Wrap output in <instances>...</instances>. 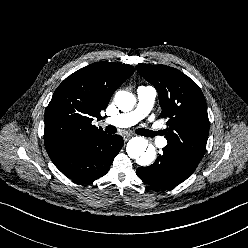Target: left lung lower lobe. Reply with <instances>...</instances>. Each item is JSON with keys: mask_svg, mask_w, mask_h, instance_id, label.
<instances>
[{"mask_svg": "<svg viewBox=\"0 0 248 248\" xmlns=\"http://www.w3.org/2000/svg\"><path fill=\"white\" fill-rule=\"evenodd\" d=\"M196 169L173 152L163 148V154L148 167L137 169L138 177L159 189H168L186 180Z\"/></svg>", "mask_w": 248, "mask_h": 248, "instance_id": "obj_1", "label": "left lung lower lobe"}]
</instances>
